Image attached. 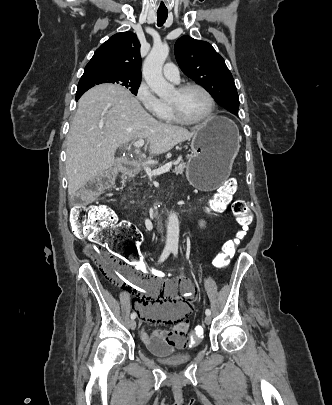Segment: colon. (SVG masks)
I'll list each match as a JSON object with an SVG mask.
<instances>
[{
  "mask_svg": "<svg viewBox=\"0 0 332 405\" xmlns=\"http://www.w3.org/2000/svg\"><path fill=\"white\" fill-rule=\"evenodd\" d=\"M114 179V173L104 172L89 182L83 189L71 197L72 210L70 225L72 230L83 236L91 237V240L98 244H106L102 251L91 245L86 246L85 253L94 260L103 271L107 279L117 284L123 273L124 267H138L141 272L148 273L154 268V263L146 266V260H141V245L144 243L143 236L126 221H118L114 212L105 205L90 204V201L103 189L109 187ZM237 189V180L228 178L220 186L212 202L211 209L214 211L223 210L230 202ZM232 212L240 226L235 237L227 241L222 252L216 257L214 265L217 269H223L229 257H232L237 247L245 238L252 217L244 200H235L232 203ZM109 241V242H108ZM108 242V243H107ZM113 256H120L119 259ZM153 270V269H152ZM155 278L162 277L163 273L155 271ZM184 323H190V318H184ZM205 324L196 322L190 333L186 332L185 337L187 351H198L201 338L205 336Z\"/></svg>",
  "mask_w": 332,
  "mask_h": 405,
  "instance_id": "colon-1",
  "label": "colon"
}]
</instances>
